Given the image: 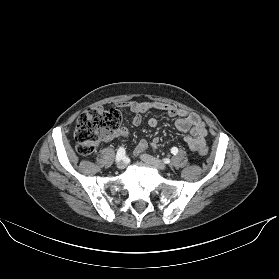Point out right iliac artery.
Returning <instances> with one entry per match:
<instances>
[{
	"label": "right iliac artery",
	"mask_w": 279,
	"mask_h": 279,
	"mask_svg": "<svg viewBox=\"0 0 279 279\" xmlns=\"http://www.w3.org/2000/svg\"><path fill=\"white\" fill-rule=\"evenodd\" d=\"M124 157H125V149L123 147H120L117 151L116 162H119Z\"/></svg>",
	"instance_id": "obj_1"
}]
</instances>
